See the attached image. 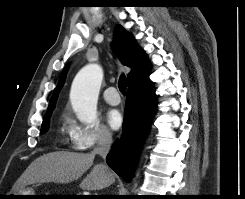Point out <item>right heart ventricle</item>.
I'll list each match as a JSON object with an SVG mask.
<instances>
[{"instance_id":"obj_1","label":"right heart ventricle","mask_w":245,"mask_h":199,"mask_svg":"<svg viewBox=\"0 0 245 199\" xmlns=\"http://www.w3.org/2000/svg\"><path fill=\"white\" fill-rule=\"evenodd\" d=\"M71 121L68 116H64L62 119V130L70 132Z\"/></svg>"}]
</instances>
